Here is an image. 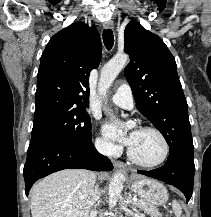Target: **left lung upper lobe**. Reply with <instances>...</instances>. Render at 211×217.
I'll use <instances>...</instances> for the list:
<instances>
[{
	"mask_svg": "<svg viewBox=\"0 0 211 217\" xmlns=\"http://www.w3.org/2000/svg\"><path fill=\"white\" fill-rule=\"evenodd\" d=\"M124 42L130 56L124 73L137 109L162 133L169 153H194L188 105L173 55L160 37L135 21L126 26Z\"/></svg>",
	"mask_w": 211,
	"mask_h": 217,
	"instance_id": "obj_1",
	"label": "left lung upper lobe"
}]
</instances>
